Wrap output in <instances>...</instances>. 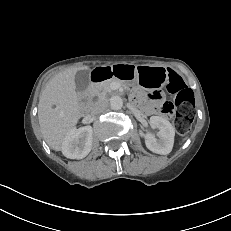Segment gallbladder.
<instances>
[{
  "mask_svg": "<svg viewBox=\"0 0 231 231\" xmlns=\"http://www.w3.org/2000/svg\"><path fill=\"white\" fill-rule=\"evenodd\" d=\"M75 84L77 90L79 91L85 90L89 84L88 72L84 70L78 71L75 75Z\"/></svg>",
  "mask_w": 231,
  "mask_h": 231,
  "instance_id": "1",
  "label": "gallbladder"
}]
</instances>
